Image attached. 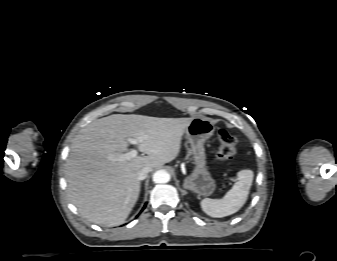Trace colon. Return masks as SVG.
Masks as SVG:
<instances>
[{
    "mask_svg": "<svg viewBox=\"0 0 337 261\" xmlns=\"http://www.w3.org/2000/svg\"><path fill=\"white\" fill-rule=\"evenodd\" d=\"M219 147L216 158L220 162L230 161L236 153L237 139L226 130H220L218 134Z\"/></svg>",
    "mask_w": 337,
    "mask_h": 261,
    "instance_id": "obj_1",
    "label": "colon"
}]
</instances>
